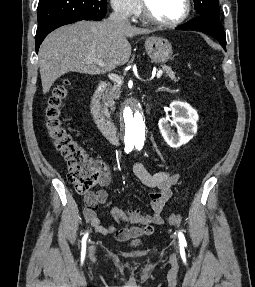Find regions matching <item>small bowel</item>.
Segmentation results:
<instances>
[{"instance_id": "1", "label": "small bowel", "mask_w": 255, "mask_h": 287, "mask_svg": "<svg viewBox=\"0 0 255 287\" xmlns=\"http://www.w3.org/2000/svg\"><path fill=\"white\" fill-rule=\"evenodd\" d=\"M133 173L144 186L155 189L149 194L152 212L144 214L139 209L114 208L112 210L114 219L131 226L118 229L113 225L104 224L97 216V206L107 200L108 194L103 187L109 184L110 175L108 170L103 168L100 181L102 188L96 192L88 193L84 198L83 206L85 220L97 233L102 235L113 234L119 240H127L141 235H150L156 225L162 224L164 206L172 195V187L178 182L179 175L166 170L152 173L141 162H136L133 165Z\"/></svg>"}]
</instances>
